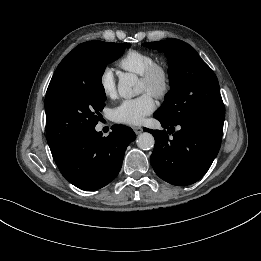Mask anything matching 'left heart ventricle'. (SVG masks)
Wrapping results in <instances>:
<instances>
[{"instance_id":"obj_1","label":"left heart ventricle","mask_w":261,"mask_h":261,"mask_svg":"<svg viewBox=\"0 0 261 261\" xmlns=\"http://www.w3.org/2000/svg\"><path fill=\"white\" fill-rule=\"evenodd\" d=\"M140 89H141V92H147L146 85L142 81L140 83Z\"/></svg>"}]
</instances>
